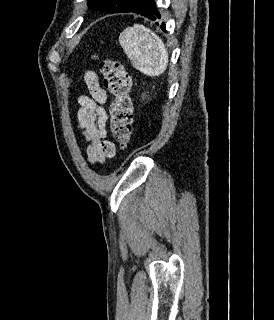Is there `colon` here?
Segmentation results:
<instances>
[{"label":"colon","mask_w":274,"mask_h":320,"mask_svg":"<svg viewBox=\"0 0 274 320\" xmlns=\"http://www.w3.org/2000/svg\"><path fill=\"white\" fill-rule=\"evenodd\" d=\"M100 60L104 85L112 96L111 131L122 147H128L133 135V104L130 97L131 77L125 66L114 59L93 55Z\"/></svg>","instance_id":"obj_1"}]
</instances>
